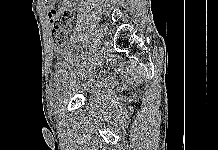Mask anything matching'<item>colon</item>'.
<instances>
[{"instance_id":"5ec220e1","label":"colon","mask_w":218,"mask_h":150,"mask_svg":"<svg viewBox=\"0 0 218 150\" xmlns=\"http://www.w3.org/2000/svg\"><path fill=\"white\" fill-rule=\"evenodd\" d=\"M52 37L55 48L60 49L66 44L68 31L65 29L55 30Z\"/></svg>"}]
</instances>
